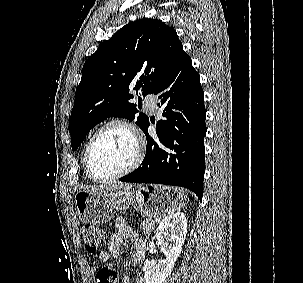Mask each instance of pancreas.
<instances>
[{
    "mask_svg": "<svg viewBox=\"0 0 303 283\" xmlns=\"http://www.w3.org/2000/svg\"><path fill=\"white\" fill-rule=\"evenodd\" d=\"M154 224L155 222L152 218H147L141 221L140 226L142 230L145 232V234L149 235L150 232L154 229Z\"/></svg>",
    "mask_w": 303,
    "mask_h": 283,
    "instance_id": "pancreas-1",
    "label": "pancreas"
}]
</instances>
